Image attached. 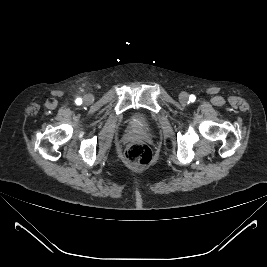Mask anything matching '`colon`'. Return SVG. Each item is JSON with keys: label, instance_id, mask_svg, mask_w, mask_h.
I'll return each instance as SVG.
<instances>
[{"label": "colon", "instance_id": "obj_1", "mask_svg": "<svg viewBox=\"0 0 267 267\" xmlns=\"http://www.w3.org/2000/svg\"><path fill=\"white\" fill-rule=\"evenodd\" d=\"M124 158L130 165L145 166L152 160V151L145 142L132 140L125 146Z\"/></svg>", "mask_w": 267, "mask_h": 267}]
</instances>
